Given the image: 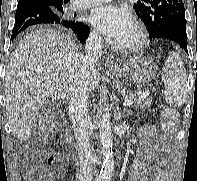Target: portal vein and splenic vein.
Here are the masks:
<instances>
[{
    "mask_svg": "<svg viewBox=\"0 0 197 181\" xmlns=\"http://www.w3.org/2000/svg\"><path fill=\"white\" fill-rule=\"evenodd\" d=\"M57 75V74H56ZM149 96V90H145L140 96H139V98L140 99H145V98H147ZM133 104V102L131 101V100H125L124 102H123V106H130V105H132Z\"/></svg>",
    "mask_w": 197,
    "mask_h": 181,
    "instance_id": "18ae733b",
    "label": "portal vein and splenic vein"
}]
</instances>
